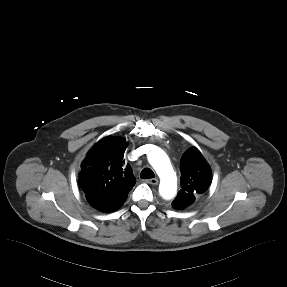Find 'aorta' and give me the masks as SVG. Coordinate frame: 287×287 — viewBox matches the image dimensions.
I'll list each match as a JSON object with an SVG mask.
<instances>
[{
	"mask_svg": "<svg viewBox=\"0 0 287 287\" xmlns=\"http://www.w3.org/2000/svg\"><path fill=\"white\" fill-rule=\"evenodd\" d=\"M148 161L160 178L159 194L166 200L172 199L177 192V178L166 153L154 149L148 154Z\"/></svg>",
	"mask_w": 287,
	"mask_h": 287,
	"instance_id": "762f6f07",
	"label": "aorta"
}]
</instances>
